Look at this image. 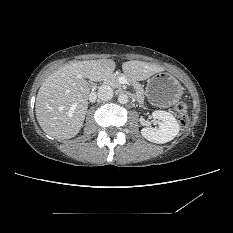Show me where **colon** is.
I'll list each match as a JSON object with an SVG mask.
<instances>
[{
    "mask_svg": "<svg viewBox=\"0 0 233 233\" xmlns=\"http://www.w3.org/2000/svg\"><path fill=\"white\" fill-rule=\"evenodd\" d=\"M175 112L177 114V118L180 126L186 127L189 123L188 105L182 101L178 102L175 105Z\"/></svg>",
    "mask_w": 233,
    "mask_h": 233,
    "instance_id": "5ec220e1",
    "label": "colon"
}]
</instances>
